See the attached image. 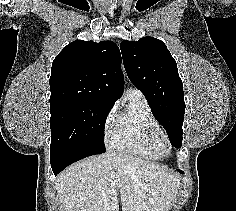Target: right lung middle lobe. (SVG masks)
<instances>
[{"label":"right lung middle lobe","mask_w":236,"mask_h":211,"mask_svg":"<svg viewBox=\"0 0 236 211\" xmlns=\"http://www.w3.org/2000/svg\"><path fill=\"white\" fill-rule=\"evenodd\" d=\"M113 105L70 102L50 107V149L92 147L105 152L104 125Z\"/></svg>","instance_id":"right-lung-middle-lobe-1"}]
</instances>
